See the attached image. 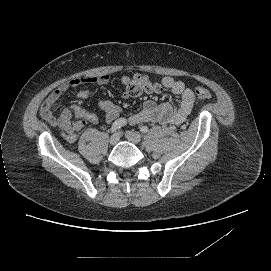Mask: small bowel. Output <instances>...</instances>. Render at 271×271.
Wrapping results in <instances>:
<instances>
[{"label": "small bowel", "instance_id": "small-bowel-1", "mask_svg": "<svg viewBox=\"0 0 271 271\" xmlns=\"http://www.w3.org/2000/svg\"><path fill=\"white\" fill-rule=\"evenodd\" d=\"M108 81V75H100L95 77L73 78L62 83L44 100L40 109L41 117L50 125L61 128L66 141H76L78 132L82 128L88 123L95 124L98 122L97 115L85 110L78 104L63 108L59 116H55L52 113V109L57 105L61 96L70 89L77 88L84 84L105 85ZM121 81L127 88L130 78L123 76ZM162 85L180 97L178 107L175 108L168 102L157 104L152 100H146L143 103L142 109L130 116L129 123L131 125L148 122L179 125L190 116L196 105L197 97L195 92L187 88L182 81L175 80L171 77H164L162 79ZM126 88L123 91V96L130 97ZM90 95L91 91L89 89H81L77 93L79 99H86ZM99 108L104 112L106 120L109 122L117 119L121 114V108L110 101H101Z\"/></svg>", "mask_w": 271, "mask_h": 271}]
</instances>
